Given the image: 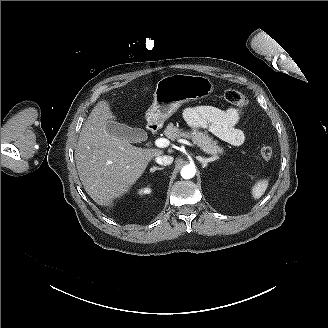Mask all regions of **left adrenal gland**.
<instances>
[{
    "mask_svg": "<svg viewBox=\"0 0 328 328\" xmlns=\"http://www.w3.org/2000/svg\"><path fill=\"white\" fill-rule=\"evenodd\" d=\"M196 159L202 162L203 168H205L209 162L214 161L213 158H201L200 156H196Z\"/></svg>",
    "mask_w": 328,
    "mask_h": 328,
    "instance_id": "1",
    "label": "left adrenal gland"
}]
</instances>
